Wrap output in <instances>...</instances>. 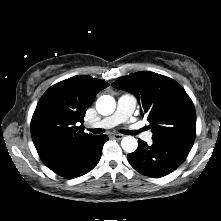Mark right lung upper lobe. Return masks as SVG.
Listing matches in <instances>:
<instances>
[{
  "label": "right lung upper lobe",
  "instance_id": "1",
  "mask_svg": "<svg viewBox=\"0 0 221 221\" xmlns=\"http://www.w3.org/2000/svg\"><path fill=\"white\" fill-rule=\"evenodd\" d=\"M109 84L78 75L50 87L41 97L31 120V136L43 163L56 170L68 163L95 135L78 126L98 92Z\"/></svg>",
  "mask_w": 221,
  "mask_h": 221
}]
</instances>
